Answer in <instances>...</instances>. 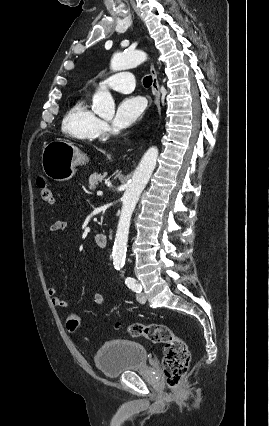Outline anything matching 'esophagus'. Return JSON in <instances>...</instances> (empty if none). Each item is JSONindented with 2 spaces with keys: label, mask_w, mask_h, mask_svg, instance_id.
<instances>
[{
  "label": "esophagus",
  "mask_w": 269,
  "mask_h": 426,
  "mask_svg": "<svg viewBox=\"0 0 269 426\" xmlns=\"http://www.w3.org/2000/svg\"><path fill=\"white\" fill-rule=\"evenodd\" d=\"M150 72L152 75V92L154 95V105L156 106L158 112L160 110V88H159V82L157 78V72L154 67V65H151Z\"/></svg>",
  "instance_id": "esophagus-1"
}]
</instances>
